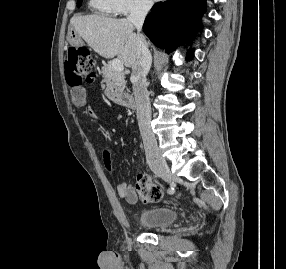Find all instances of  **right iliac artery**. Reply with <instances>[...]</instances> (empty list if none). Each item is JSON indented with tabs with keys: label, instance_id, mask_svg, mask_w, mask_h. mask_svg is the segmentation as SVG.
<instances>
[{
	"label": "right iliac artery",
	"instance_id": "obj_1",
	"mask_svg": "<svg viewBox=\"0 0 286 269\" xmlns=\"http://www.w3.org/2000/svg\"><path fill=\"white\" fill-rule=\"evenodd\" d=\"M168 192L171 193V192H172V189H168Z\"/></svg>",
	"mask_w": 286,
	"mask_h": 269
}]
</instances>
